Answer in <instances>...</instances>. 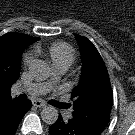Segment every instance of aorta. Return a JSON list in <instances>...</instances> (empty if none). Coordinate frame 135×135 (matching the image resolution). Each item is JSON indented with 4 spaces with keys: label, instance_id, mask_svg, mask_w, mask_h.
<instances>
[{
    "label": "aorta",
    "instance_id": "1",
    "mask_svg": "<svg viewBox=\"0 0 135 135\" xmlns=\"http://www.w3.org/2000/svg\"><path fill=\"white\" fill-rule=\"evenodd\" d=\"M50 71L49 65L43 60L34 59L29 64V72L36 80H46L50 76ZM58 116V110L53 106L45 107L41 111L42 120L49 125L54 124Z\"/></svg>",
    "mask_w": 135,
    "mask_h": 135
}]
</instances>
